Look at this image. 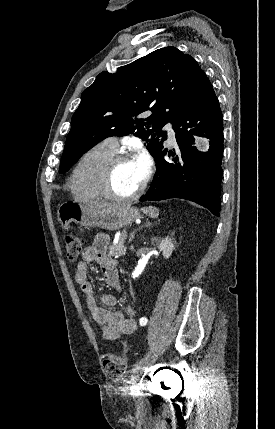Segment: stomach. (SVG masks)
<instances>
[{"label": "stomach", "mask_w": 275, "mask_h": 429, "mask_svg": "<svg viewBox=\"0 0 275 429\" xmlns=\"http://www.w3.org/2000/svg\"><path fill=\"white\" fill-rule=\"evenodd\" d=\"M140 218L137 208L126 205H112L93 209L77 201H67L57 210V219L63 230H69L70 223L81 226L101 227L115 231L131 225Z\"/></svg>", "instance_id": "obj_1"}]
</instances>
